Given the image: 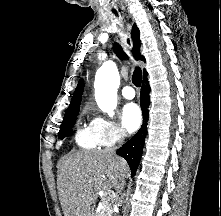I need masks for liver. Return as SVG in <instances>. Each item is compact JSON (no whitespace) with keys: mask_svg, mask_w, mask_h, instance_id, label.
I'll list each match as a JSON object with an SVG mask.
<instances>
[{"mask_svg":"<svg viewBox=\"0 0 221 216\" xmlns=\"http://www.w3.org/2000/svg\"><path fill=\"white\" fill-rule=\"evenodd\" d=\"M129 175L125 159L106 151H80L58 164L57 188L65 216H93L101 189H117Z\"/></svg>","mask_w":221,"mask_h":216,"instance_id":"1","label":"liver"}]
</instances>
